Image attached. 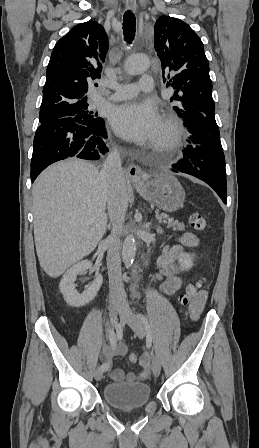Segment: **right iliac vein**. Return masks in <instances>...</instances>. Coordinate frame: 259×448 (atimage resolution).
<instances>
[{"mask_svg": "<svg viewBox=\"0 0 259 448\" xmlns=\"http://www.w3.org/2000/svg\"><path fill=\"white\" fill-rule=\"evenodd\" d=\"M120 305H121L120 301H118L116 299H112L109 302V316H110V321H111L112 326H114V324L116 323L117 314L119 312ZM102 377H103V372L98 367L94 372V378L97 381H100L102 379Z\"/></svg>", "mask_w": 259, "mask_h": 448, "instance_id": "1", "label": "right iliac vein"}]
</instances>
